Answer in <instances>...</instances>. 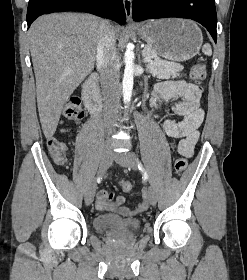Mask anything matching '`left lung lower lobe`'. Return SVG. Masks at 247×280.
Listing matches in <instances>:
<instances>
[{
  "mask_svg": "<svg viewBox=\"0 0 247 280\" xmlns=\"http://www.w3.org/2000/svg\"><path fill=\"white\" fill-rule=\"evenodd\" d=\"M134 20L179 17L202 24L217 41V15L214 0H134Z\"/></svg>",
  "mask_w": 247,
  "mask_h": 280,
  "instance_id": "obj_1",
  "label": "left lung lower lobe"
}]
</instances>
